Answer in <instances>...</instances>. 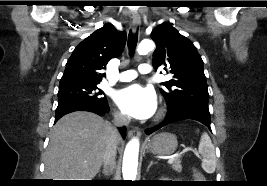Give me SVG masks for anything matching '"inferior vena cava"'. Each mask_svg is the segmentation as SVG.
<instances>
[{"mask_svg": "<svg viewBox=\"0 0 267 186\" xmlns=\"http://www.w3.org/2000/svg\"><path fill=\"white\" fill-rule=\"evenodd\" d=\"M130 123V118L121 113L114 114L113 124L110 127V133L106 142V148L103 155L104 171L112 172L115 165L116 148L119 139L117 127L127 126Z\"/></svg>", "mask_w": 267, "mask_h": 186, "instance_id": "obj_1", "label": "inferior vena cava"}]
</instances>
